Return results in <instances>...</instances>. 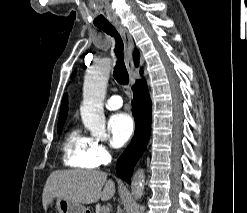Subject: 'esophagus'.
Masks as SVG:
<instances>
[{
    "label": "esophagus",
    "mask_w": 247,
    "mask_h": 213,
    "mask_svg": "<svg viewBox=\"0 0 247 213\" xmlns=\"http://www.w3.org/2000/svg\"><path fill=\"white\" fill-rule=\"evenodd\" d=\"M113 25L120 33L125 47V63L127 70L131 77V84H134V78L132 77V73L134 71V62H133V50H134V43L132 40L131 35L129 34L126 27H124L120 22H114Z\"/></svg>",
    "instance_id": "34e87169"
}]
</instances>
